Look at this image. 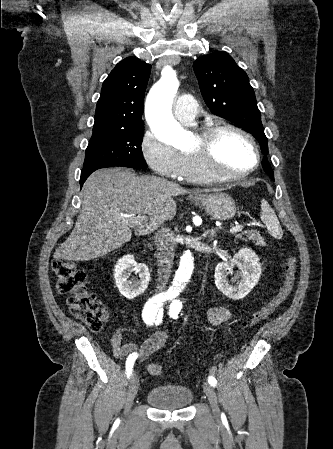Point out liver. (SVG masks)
<instances>
[{
  "label": "liver",
  "mask_w": 333,
  "mask_h": 449,
  "mask_svg": "<svg viewBox=\"0 0 333 449\" xmlns=\"http://www.w3.org/2000/svg\"><path fill=\"white\" fill-rule=\"evenodd\" d=\"M188 192L165 179L137 177L129 169L95 171L82 188V209L75 227L56 256L64 260H91L128 242L131 228H135L136 236L149 234L175 216L173 197ZM124 214L135 216L124 218ZM146 214L149 221L134 223L136 216Z\"/></svg>",
  "instance_id": "1"
}]
</instances>
